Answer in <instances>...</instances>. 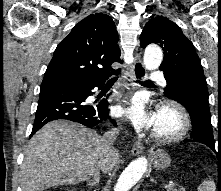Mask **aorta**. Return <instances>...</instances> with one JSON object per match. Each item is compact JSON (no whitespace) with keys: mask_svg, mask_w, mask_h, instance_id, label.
Instances as JSON below:
<instances>
[{"mask_svg":"<svg viewBox=\"0 0 221 191\" xmlns=\"http://www.w3.org/2000/svg\"><path fill=\"white\" fill-rule=\"evenodd\" d=\"M163 60V53L159 46L149 45L145 49L143 63L146 69H157ZM147 160L140 157L133 160L120 175L114 191H129L142 177L147 168Z\"/></svg>","mask_w":221,"mask_h":191,"instance_id":"1","label":"aorta"}]
</instances>
